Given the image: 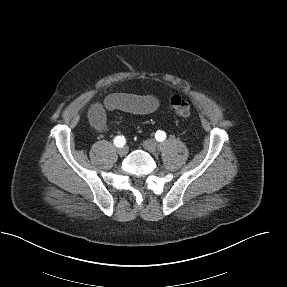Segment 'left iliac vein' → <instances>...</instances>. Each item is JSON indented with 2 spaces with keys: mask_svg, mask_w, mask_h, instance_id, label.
I'll return each mask as SVG.
<instances>
[{
  "mask_svg": "<svg viewBox=\"0 0 287 287\" xmlns=\"http://www.w3.org/2000/svg\"><path fill=\"white\" fill-rule=\"evenodd\" d=\"M143 147L147 151H149V152H151L153 154L157 153V151L159 149L158 143L154 139H147V140H145L143 142Z\"/></svg>",
  "mask_w": 287,
  "mask_h": 287,
  "instance_id": "4c4485c4",
  "label": "left iliac vein"
}]
</instances>
